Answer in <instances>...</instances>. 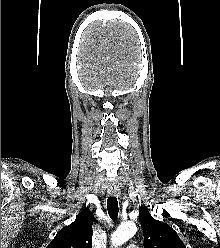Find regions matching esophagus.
<instances>
[{
  "label": "esophagus",
  "instance_id": "1",
  "mask_svg": "<svg viewBox=\"0 0 220 248\" xmlns=\"http://www.w3.org/2000/svg\"><path fill=\"white\" fill-rule=\"evenodd\" d=\"M108 194L112 197H119L120 196V190L118 186L114 184H110L108 187Z\"/></svg>",
  "mask_w": 220,
  "mask_h": 248
}]
</instances>
